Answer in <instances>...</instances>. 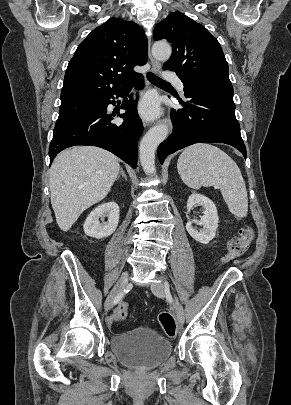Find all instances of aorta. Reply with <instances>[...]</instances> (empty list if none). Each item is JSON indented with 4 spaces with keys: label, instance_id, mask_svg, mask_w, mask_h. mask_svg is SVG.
<instances>
[{
    "label": "aorta",
    "instance_id": "obj_1",
    "mask_svg": "<svg viewBox=\"0 0 291 405\" xmlns=\"http://www.w3.org/2000/svg\"><path fill=\"white\" fill-rule=\"evenodd\" d=\"M171 53L172 48L166 41H157L152 47L153 57L161 62L167 61ZM168 132V126L160 124L152 127L142 138L139 147V158L145 174L154 175L156 173L155 152L158 145L166 139Z\"/></svg>",
    "mask_w": 291,
    "mask_h": 405
}]
</instances>
